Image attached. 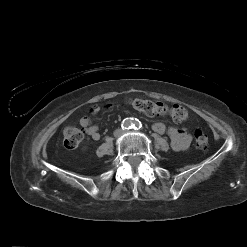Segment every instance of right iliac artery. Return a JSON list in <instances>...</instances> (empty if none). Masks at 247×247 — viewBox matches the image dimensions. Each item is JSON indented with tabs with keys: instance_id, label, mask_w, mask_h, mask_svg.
<instances>
[{
	"instance_id": "1",
	"label": "right iliac artery",
	"mask_w": 247,
	"mask_h": 247,
	"mask_svg": "<svg viewBox=\"0 0 247 247\" xmlns=\"http://www.w3.org/2000/svg\"><path fill=\"white\" fill-rule=\"evenodd\" d=\"M121 127L123 130H129L133 127V122L131 121V119H124L122 124H121Z\"/></svg>"
}]
</instances>
